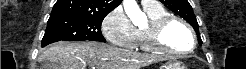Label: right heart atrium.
<instances>
[{"label":"right heart atrium","instance_id":"obj_1","mask_svg":"<svg viewBox=\"0 0 246 69\" xmlns=\"http://www.w3.org/2000/svg\"><path fill=\"white\" fill-rule=\"evenodd\" d=\"M102 32L113 45L132 47L135 28L122 7L109 12L102 22Z\"/></svg>","mask_w":246,"mask_h":69}]
</instances>
